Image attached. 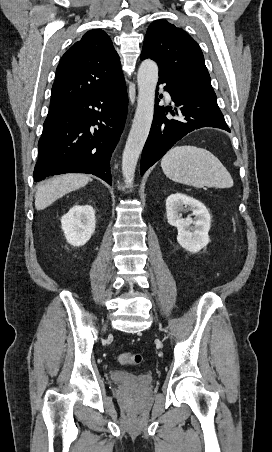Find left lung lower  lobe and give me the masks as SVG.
<instances>
[{"instance_id": "0a47b994", "label": "left lung lower lobe", "mask_w": 272, "mask_h": 452, "mask_svg": "<svg viewBox=\"0 0 272 452\" xmlns=\"http://www.w3.org/2000/svg\"><path fill=\"white\" fill-rule=\"evenodd\" d=\"M165 83L176 108L157 106L148 139L143 148L140 173L158 161L178 140L187 133L203 128L216 127L230 132L221 113L214 91L179 80L173 76H159V84ZM170 113L176 118L168 119Z\"/></svg>"}]
</instances>
